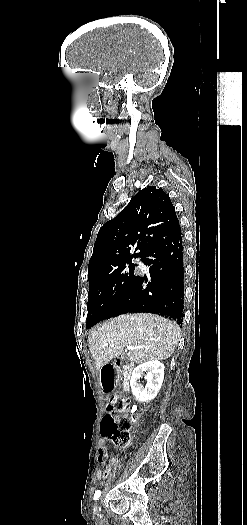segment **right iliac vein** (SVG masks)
Instances as JSON below:
<instances>
[{
  "instance_id": "obj_1",
  "label": "right iliac vein",
  "mask_w": 247,
  "mask_h": 525,
  "mask_svg": "<svg viewBox=\"0 0 247 525\" xmlns=\"http://www.w3.org/2000/svg\"><path fill=\"white\" fill-rule=\"evenodd\" d=\"M97 508V503L95 504V509Z\"/></svg>"
}]
</instances>
